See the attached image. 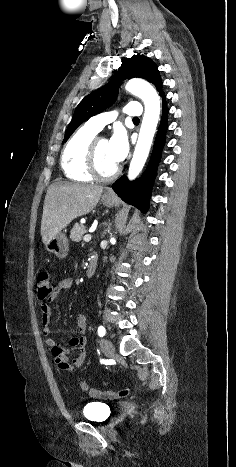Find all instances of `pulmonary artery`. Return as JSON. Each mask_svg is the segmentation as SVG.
<instances>
[{
	"mask_svg": "<svg viewBox=\"0 0 236 467\" xmlns=\"http://www.w3.org/2000/svg\"><path fill=\"white\" fill-rule=\"evenodd\" d=\"M122 113L127 116L138 117L142 113V108L139 102H131L122 109ZM117 114V111H109L97 114L91 117L87 121L86 125L99 132L106 124L112 122L117 117Z\"/></svg>",
	"mask_w": 236,
	"mask_h": 467,
	"instance_id": "obj_1",
	"label": "pulmonary artery"
}]
</instances>
